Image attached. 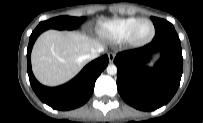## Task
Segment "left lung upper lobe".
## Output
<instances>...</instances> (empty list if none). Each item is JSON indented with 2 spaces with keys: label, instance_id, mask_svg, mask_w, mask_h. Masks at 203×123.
I'll use <instances>...</instances> for the list:
<instances>
[{
  "label": "left lung upper lobe",
  "instance_id": "obj_1",
  "mask_svg": "<svg viewBox=\"0 0 203 123\" xmlns=\"http://www.w3.org/2000/svg\"><path fill=\"white\" fill-rule=\"evenodd\" d=\"M151 19L154 23L156 34L162 33L166 30H175L173 25L166 20L155 18V17H152Z\"/></svg>",
  "mask_w": 203,
  "mask_h": 123
}]
</instances>
